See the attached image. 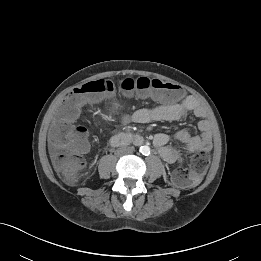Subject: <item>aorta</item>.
<instances>
[{
  "label": "aorta",
  "mask_w": 261,
  "mask_h": 261,
  "mask_svg": "<svg viewBox=\"0 0 261 261\" xmlns=\"http://www.w3.org/2000/svg\"><path fill=\"white\" fill-rule=\"evenodd\" d=\"M140 152H141V154H143V155H149V154H150V147H149V146H146V145L141 146V147H140Z\"/></svg>",
  "instance_id": "1"
}]
</instances>
